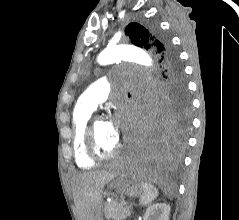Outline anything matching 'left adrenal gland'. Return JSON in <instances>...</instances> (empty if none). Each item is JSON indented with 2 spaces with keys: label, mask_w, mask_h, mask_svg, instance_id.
<instances>
[{
  "label": "left adrenal gland",
  "mask_w": 239,
  "mask_h": 220,
  "mask_svg": "<svg viewBox=\"0 0 239 220\" xmlns=\"http://www.w3.org/2000/svg\"><path fill=\"white\" fill-rule=\"evenodd\" d=\"M132 207H133V203H131V204L129 205V208H130V215L133 213V209H132Z\"/></svg>",
  "instance_id": "obj_1"
}]
</instances>
